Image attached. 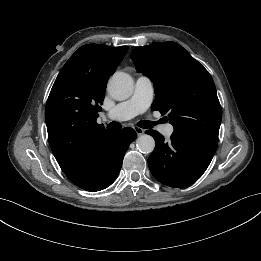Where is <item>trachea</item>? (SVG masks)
I'll return each instance as SVG.
<instances>
[{"label":"trachea","mask_w":261,"mask_h":261,"mask_svg":"<svg viewBox=\"0 0 261 261\" xmlns=\"http://www.w3.org/2000/svg\"><path fill=\"white\" fill-rule=\"evenodd\" d=\"M155 124H156V122L145 121V120L138 122V126L141 128H145V129L152 128ZM107 128L111 129V130H119V129H121V124L118 122H111V123L107 124Z\"/></svg>","instance_id":"trachea-1"}]
</instances>
